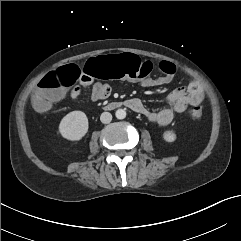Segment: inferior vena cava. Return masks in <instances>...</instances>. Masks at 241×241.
<instances>
[{
	"label": "inferior vena cava",
	"mask_w": 241,
	"mask_h": 241,
	"mask_svg": "<svg viewBox=\"0 0 241 241\" xmlns=\"http://www.w3.org/2000/svg\"><path fill=\"white\" fill-rule=\"evenodd\" d=\"M112 120V115L109 112H103L100 116V121L104 124L110 123Z\"/></svg>",
	"instance_id": "inferior-vena-cava-1"
}]
</instances>
